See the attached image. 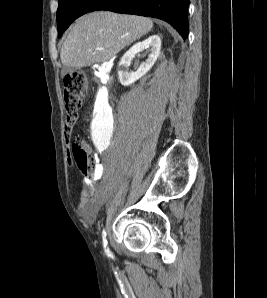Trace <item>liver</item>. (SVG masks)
<instances>
[{
	"mask_svg": "<svg viewBox=\"0 0 267 298\" xmlns=\"http://www.w3.org/2000/svg\"><path fill=\"white\" fill-rule=\"evenodd\" d=\"M152 27L153 21L141 16L110 11L86 14L77 20L65 39L61 62L66 67L81 68L108 61Z\"/></svg>",
	"mask_w": 267,
	"mask_h": 298,
	"instance_id": "1",
	"label": "liver"
}]
</instances>
